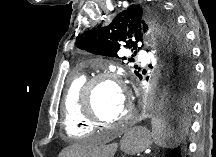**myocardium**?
<instances>
[{
	"instance_id": "1",
	"label": "myocardium",
	"mask_w": 216,
	"mask_h": 157,
	"mask_svg": "<svg viewBox=\"0 0 216 157\" xmlns=\"http://www.w3.org/2000/svg\"><path fill=\"white\" fill-rule=\"evenodd\" d=\"M110 83L119 87V83L117 81V75L115 74H98L96 76L88 79L80 90L79 96V105L81 109L82 115L90 121L92 124H100L104 126H112V125H120L127 122L131 116L132 111L131 108H128L127 111L117 120L114 121H106L101 118L96 110L94 105V93L98 86L101 84Z\"/></svg>"
}]
</instances>
